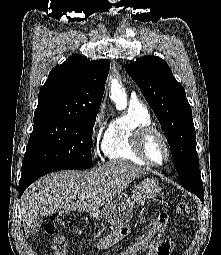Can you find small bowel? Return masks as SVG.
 Listing matches in <instances>:
<instances>
[{
    "label": "small bowel",
    "mask_w": 221,
    "mask_h": 255,
    "mask_svg": "<svg viewBox=\"0 0 221 255\" xmlns=\"http://www.w3.org/2000/svg\"><path fill=\"white\" fill-rule=\"evenodd\" d=\"M131 233L130 226H122L102 237L96 244L98 251H105L113 247ZM163 230L155 235L145 233L138 238L136 243L121 255H138L145 248L148 249L146 255H170L174 242L170 239L162 240Z\"/></svg>",
    "instance_id": "1"
}]
</instances>
